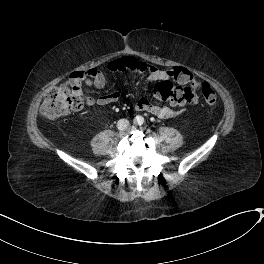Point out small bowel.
<instances>
[{
    "mask_svg": "<svg viewBox=\"0 0 264 264\" xmlns=\"http://www.w3.org/2000/svg\"><path fill=\"white\" fill-rule=\"evenodd\" d=\"M108 69L110 71L117 72H135L138 73L142 70H148L149 75L146 78V83H152L157 81H169L171 77L167 70H161L151 63L140 62L133 57H125L111 61L108 64ZM92 70V69H90ZM90 70L82 71V80L85 83L92 84L96 88H103L106 84V78L103 74L97 73L93 76H88ZM122 93L120 91H113L111 93L101 95L97 98H86L87 104H97L100 106H108L113 103L118 102L121 99ZM196 102V98L192 103ZM135 109L138 111H145L154 116L162 119L171 118L177 114V110L169 106H159L152 104L150 100L146 97H141L135 103Z\"/></svg>",
    "mask_w": 264,
    "mask_h": 264,
    "instance_id": "obj_1",
    "label": "small bowel"
}]
</instances>
